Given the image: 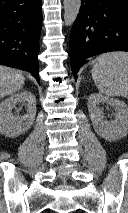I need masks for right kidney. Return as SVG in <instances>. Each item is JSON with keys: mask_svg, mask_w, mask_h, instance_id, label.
I'll use <instances>...</instances> for the list:
<instances>
[{"mask_svg": "<svg viewBox=\"0 0 128 213\" xmlns=\"http://www.w3.org/2000/svg\"><path fill=\"white\" fill-rule=\"evenodd\" d=\"M19 103L26 105V114L13 115L12 109ZM36 116V97L28 90L11 95L0 103V133L17 137L31 128Z\"/></svg>", "mask_w": 128, "mask_h": 213, "instance_id": "right-kidney-1", "label": "right kidney"}]
</instances>
